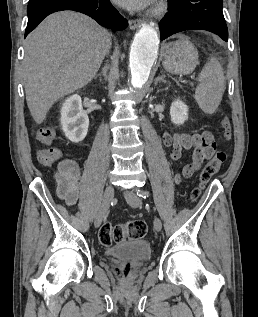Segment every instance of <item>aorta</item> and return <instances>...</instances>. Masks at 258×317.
Here are the masks:
<instances>
[{"label": "aorta", "instance_id": "aorta-1", "mask_svg": "<svg viewBox=\"0 0 258 317\" xmlns=\"http://www.w3.org/2000/svg\"><path fill=\"white\" fill-rule=\"evenodd\" d=\"M159 47V38L154 23L144 24L135 34L130 50L131 84L141 88L148 80Z\"/></svg>", "mask_w": 258, "mask_h": 317}]
</instances>
